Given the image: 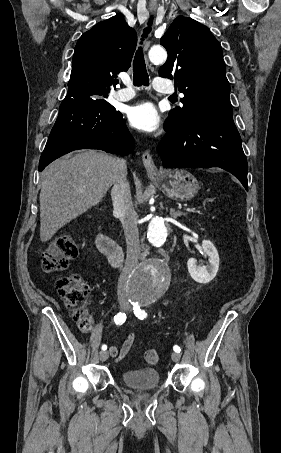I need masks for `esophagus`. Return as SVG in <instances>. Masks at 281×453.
I'll return each instance as SVG.
<instances>
[{"label": "esophagus", "instance_id": "esophagus-1", "mask_svg": "<svg viewBox=\"0 0 281 453\" xmlns=\"http://www.w3.org/2000/svg\"><path fill=\"white\" fill-rule=\"evenodd\" d=\"M150 12L152 13V15H154L156 13V10H150ZM147 48H148V44H147V42H144L143 49L146 50ZM142 161H143V165L146 168L148 175H156L157 167L155 166L153 158L148 151L143 152Z\"/></svg>", "mask_w": 281, "mask_h": 453}]
</instances>
